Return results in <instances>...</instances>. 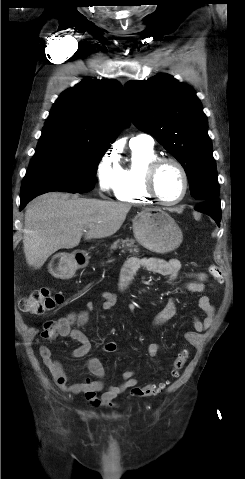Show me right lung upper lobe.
Masks as SVG:
<instances>
[{"label":"right lung upper lobe","instance_id":"1","mask_svg":"<svg viewBox=\"0 0 245 479\" xmlns=\"http://www.w3.org/2000/svg\"><path fill=\"white\" fill-rule=\"evenodd\" d=\"M128 123L121 85L113 79H84L59 96L42 132L64 133L109 148Z\"/></svg>","mask_w":245,"mask_h":479}]
</instances>
